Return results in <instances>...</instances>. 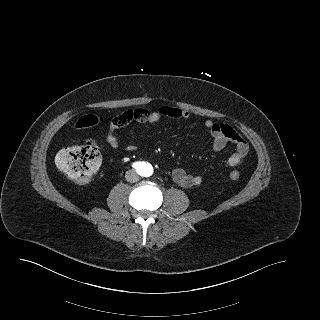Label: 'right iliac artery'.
I'll return each mask as SVG.
<instances>
[{
	"mask_svg": "<svg viewBox=\"0 0 320 320\" xmlns=\"http://www.w3.org/2000/svg\"><path fill=\"white\" fill-rule=\"evenodd\" d=\"M134 168H138V163H133V165H132Z\"/></svg>",
	"mask_w": 320,
	"mask_h": 320,
	"instance_id": "right-iliac-artery-1",
	"label": "right iliac artery"
}]
</instances>
